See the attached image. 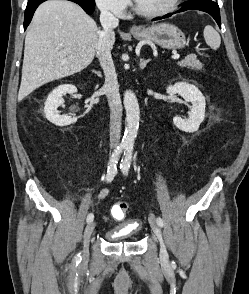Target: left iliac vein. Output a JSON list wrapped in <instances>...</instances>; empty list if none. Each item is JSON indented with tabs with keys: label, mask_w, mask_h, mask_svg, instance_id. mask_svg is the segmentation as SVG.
I'll return each mask as SVG.
<instances>
[{
	"label": "left iliac vein",
	"mask_w": 249,
	"mask_h": 294,
	"mask_svg": "<svg viewBox=\"0 0 249 294\" xmlns=\"http://www.w3.org/2000/svg\"><path fill=\"white\" fill-rule=\"evenodd\" d=\"M149 222H150V226H151L153 233L155 234L156 238L158 239V241L160 243V258L166 262L168 259V253H167L165 244L163 242L161 229H160L159 225L157 224V222L155 221L153 214H151L149 216Z\"/></svg>",
	"instance_id": "obj_1"
}]
</instances>
